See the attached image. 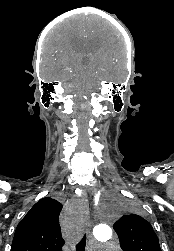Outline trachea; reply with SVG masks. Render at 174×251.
Masks as SVG:
<instances>
[{
	"instance_id": "3493384b",
	"label": "trachea",
	"mask_w": 174,
	"mask_h": 251,
	"mask_svg": "<svg viewBox=\"0 0 174 251\" xmlns=\"http://www.w3.org/2000/svg\"><path fill=\"white\" fill-rule=\"evenodd\" d=\"M86 246V234L80 240V242L76 245V251H85Z\"/></svg>"
}]
</instances>
